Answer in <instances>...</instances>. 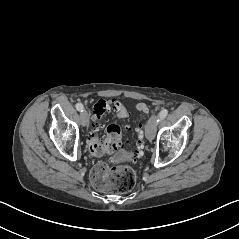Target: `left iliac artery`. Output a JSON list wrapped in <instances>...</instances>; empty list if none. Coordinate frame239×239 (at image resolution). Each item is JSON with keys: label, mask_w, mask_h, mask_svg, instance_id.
<instances>
[{"label": "left iliac artery", "mask_w": 239, "mask_h": 239, "mask_svg": "<svg viewBox=\"0 0 239 239\" xmlns=\"http://www.w3.org/2000/svg\"><path fill=\"white\" fill-rule=\"evenodd\" d=\"M167 115H168L167 109L161 110V112L159 113V119L157 120V122L164 120Z\"/></svg>", "instance_id": "44dca946"}]
</instances>
